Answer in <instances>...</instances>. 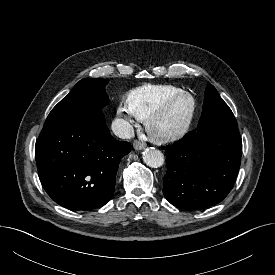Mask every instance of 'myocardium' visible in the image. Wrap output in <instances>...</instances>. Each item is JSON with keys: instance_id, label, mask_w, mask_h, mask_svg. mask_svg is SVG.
Masks as SVG:
<instances>
[{"instance_id": "1", "label": "myocardium", "mask_w": 275, "mask_h": 275, "mask_svg": "<svg viewBox=\"0 0 275 275\" xmlns=\"http://www.w3.org/2000/svg\"><path fill=\"white\" fill-rule=\"evenodd\" d=\"M186 99L189 103L188 112L183 122L175 129L168 131H158L156 129V123L160 117H162L177 101ZM196 100L194 96L187 91H180L173 95L154 110H152L148 116L144 119V124L149 136L158 142H173L182 138L190 129L195 113H196Z\"/></svg>"}]
</instances>
